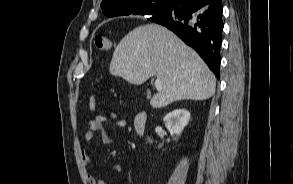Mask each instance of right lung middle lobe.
Masks as SVG:
<instances>
[{"instance_id":"obj_1","label":"right lung middle lobe","mask_w":293,"mask_h":184,"mask_svg":"<svg viewBox=\"0 0 293 184\" xmlns=\"http://www.w3.org/2000/svg\"><path fill=\"white\" fill-rule=\"evenodd\" d=\"M161 5L156 6L153 9L145 10L144 12H141L142 15H151V18H157L161 15L160 13Z\"/></svg>"}]
</instances>
